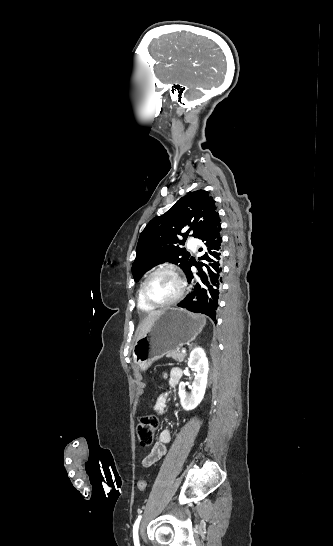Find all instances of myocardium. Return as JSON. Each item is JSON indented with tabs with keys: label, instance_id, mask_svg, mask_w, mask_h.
I'll list each match as a JSON object with an SVG mask.
<instances>
[{
	"label": "myocardium",
	"instance_id": "myocardium-1",
	"mask_svg": "<svg viewBox=\"0 0 333 546\" xmlns=\"http://www.w3.org/2000/svg\"><path fill=\"white\" fill-rule=\"evenodd\" d=\"M162 271H168V272L172 273L176 277V279L178 280V283H179V291L172 299H170V300H168L166 302L159 303V302H156V301L152 300L149 297V295L147 293V284H148L149 280L155 274H157L159 272H162ZM185 290H186L185 280H184L181 272L178 270V268H176L173 265H162V266H159V267L155 268L153 271H151L146 276V278L144 279V281H143V283L141 285V293H142L143 299L145 300L146 303H148L149 305H151V306H153L155 308L167 307V306L175 304L184 295Z\"/></svg>",
	"mask_w": 333,
	"mask_h": 546
}]
</instances>
